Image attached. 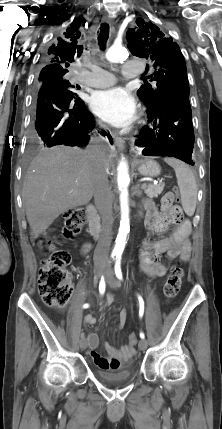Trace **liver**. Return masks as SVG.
<instances>
[{"label": "liver", "instance_id": "6515ba94", "mask_svg": "<svg viewBox=\"0 0 222 429\" xmlns=\"http://www.w3.org/2000/svg\"><path fill=\"white\" fill-rule=\"evenodd\" d=\"M96 164L87 150L62 146L45 149L32 160L24 179L22 200L35 237L62 213L89 203ZM102 165L108 173L110 161L105 151Z\"/></svg>", "mask_w": 222, "mask_h": 429}]
</instances>
